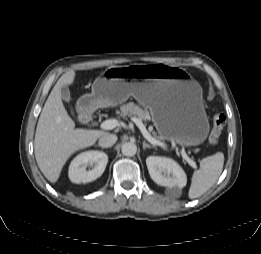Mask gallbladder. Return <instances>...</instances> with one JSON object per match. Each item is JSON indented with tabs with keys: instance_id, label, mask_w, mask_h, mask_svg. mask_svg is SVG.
<instances>
[{
	"instance_id": "gallbladder-1",
	"label": "gallbladder",
	"mask_w": 261,
	"mask_h": 254,
	"mask_svg": "<svg viewBox=\"0 0 261 254\" xmlns=\"http://www.w3.org/2000/svg\"><path fill=\"white\" fill-rule=\"evenodd\" d=\"M61 97L63 98V100H65L67 103H69L71 101V95H70V91L68 89V87L63 86L61 88Z\"/></svg>"
}]
</instances>
